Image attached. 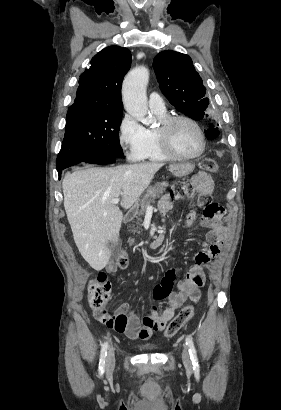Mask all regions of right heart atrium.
I'll list each match as a JSON object with an SVG mask.
<instances>
[{
    "label": "right heart atrium",
    "mask_w": 281,
    "mask_h": 410,
    "mask_svg": "<svg viewBox=\"0 0 281 410\" xmlns=\"http://www.w3.org/2000/svg\"><path fill=\"white\" fill-rule=\"evenodd\" d=\"M119 144L128 160L138 161L146 141V129L131 115L125 114L118 128Z\"/></svg>",
    "instance_id": "obj_1"
}]
</instances>
